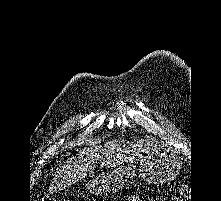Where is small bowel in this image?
Listing matches in <instances>:
<instances>
[{
  "label": "small bowel",
  "instance_id": "1",
  "mask_svg": "<svg viewBox=\"0 0 221 201\" xmlns=\"http://www.w3.org/2000/svg\"><path fill=\"white\" fill-rule=\"evenodd\" d=\"M127 201H144L139 195L130 196Z\"/></svg>",
  "mask_w": 221,
  "mask_h": 201
}]
</instances>
